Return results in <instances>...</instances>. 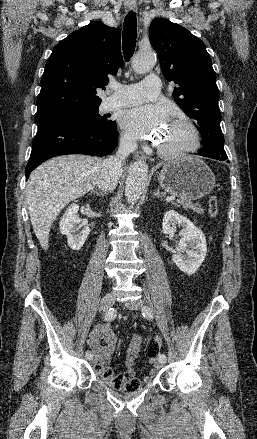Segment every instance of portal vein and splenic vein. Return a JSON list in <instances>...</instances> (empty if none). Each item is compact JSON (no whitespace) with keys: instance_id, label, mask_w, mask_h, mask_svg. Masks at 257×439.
Wrapping results in <instances>:
<instances>
[{"instance_id":"18ae733b","label":"portal vein and splenic vein","mask_w":257,"mask_h":439,"mask_svg":"<svg viewBox=\"0 0 257 439\" xmlns=\"http://www.w3.org/2000/svg\"><path fill=\"white\" fill-rule=\"evenodd\" d=\"M173 200H175V196L166 197V201H173Z\"/></svg>"}]
</instances>
